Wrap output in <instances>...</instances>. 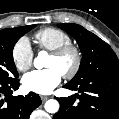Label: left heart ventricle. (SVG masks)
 <instances>
[{"label": "left heart ventricle", "mask_w": 119, "mask_h": 119, "mask_svg": "<svg viewBox=\"0 0 119 119\" xmlns=\"http://www.w3.org/2000/svg\"><path fill=\"white\" fill-rule=\"evenodd\" d=\"M72 65H73L72 55H67L63 58H57L50 55L45 64V66L48 68L57 69L61 74L70 69Z\"/></svg>", "instance_id": "b2bd125f"}]
</instances>
